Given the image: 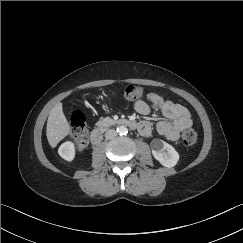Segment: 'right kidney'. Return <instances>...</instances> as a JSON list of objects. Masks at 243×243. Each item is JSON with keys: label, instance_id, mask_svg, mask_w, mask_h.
I'll list each match as a JSON object with an SVG mask.
<instances>
[{"label": "right kidney", "instance_id": "obj_1", "mask_svg": "<svg viewBox=\"0 0 243 243\" xmlns=\"http://www.w3.org/2000/svg\"><path fill=\"white\" fill-rule=\"evenodd\" d=\"M59 155L66 161L71 162L75 158V146L73 142L67 141L58 149Z\"/></svg>", "mask_w": 243, "mask_h": 243}]
</instances>
